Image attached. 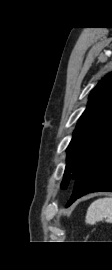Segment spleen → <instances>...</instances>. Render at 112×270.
Segmentation results:
<instances>
[{"label":"spleen","mask_w":112,"mask_h":270,"mask_svg":"<svg viewBox=\"0 0 112 270\" xmlns=\"http://www.w3.org/2000/svg\"><path fill=\"white\" fill-rule=\"evenodd\" d=\"M112 223V198H100L95 200L88 208L86 223L93 225L104 220Z\"/></svg>","instance_id":"obj_1"}]
</instances>
